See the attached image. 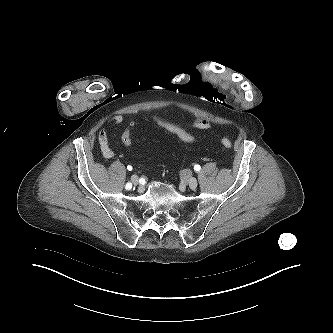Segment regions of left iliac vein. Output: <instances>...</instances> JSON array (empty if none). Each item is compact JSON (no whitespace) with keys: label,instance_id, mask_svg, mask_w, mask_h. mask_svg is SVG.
<instances>
[{"label":"left iliac vein","instance_id":"1","mask_svg":"<svg viewBox=\"0 0 333 333\" xmlns=\"http://www.w3.org/2000/svg\"><path fill=\"white\" fill-rule=\"evenodd\" d=\"M184 181L188 184L191 189H195L198 185L196 178L186 175Z\"/></svg>","mask_w":333,"mask_h":333}]
</instances>
